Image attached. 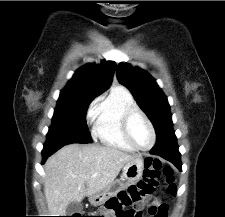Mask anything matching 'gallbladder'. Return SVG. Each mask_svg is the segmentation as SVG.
<instances>
[{"mask_svg":"<svg viewBox=\"0 0 225 217\" xmlns=\"http://www.w3.org/2000/svg\"><path fill=\"white\" fill-rule=\"evenodd\" d=\"M83 210V204L81 202H70L66 207V215L72 216L77 213H81Z\"/></svg>","mask_w":225,"mask_h":217,"instance_id":"obj_1","label":"gallbladder"}]
</instances>
